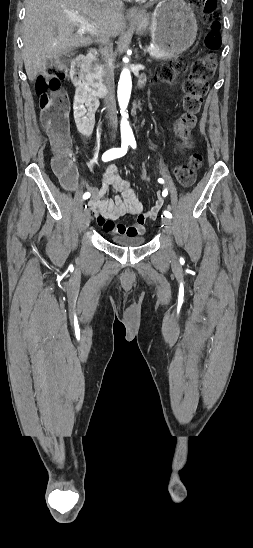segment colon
<instances>
[{
    "mask_svg": "<svg viewBox=\"0 0 253 548\" xmlns=\"http://www.w3.org/2000/svg\"><path fill=\"white\" fill-rule=\"evenodd\" d=\"M194 5L203 9L208 33L205 37V46L208 53L192 63L188 78L183 83V107L185 113L176 123V132L181 138H187L189 131L195 125V115L199 112L209 89L217 60L214 52L220 48L221 38L218 33L217 0H190ZM186 70L183 61L177 60L168 66L162 67L157 73V79L171 83L177 75ZM66 68L62 60L50 64L36 79L35 91L39 97L41 109L40 120L52 138L55 158L54 171L62 178L73 174V165L69 160L71 144L68 128L69 100L65 92L60 89L61 81L65 78ZM202 158L199 153L190 155L188 161L175 169L177 180L184 186L194 183L196 171L200 167ZM148 166L140 170V178L148 183L153 177L148 174Z\"/></svg>",
    "mask_w": 253,
    "mask_h": 548,
    "instance_id": "colon-1",
    "label": "colon"
}]
</instances>
